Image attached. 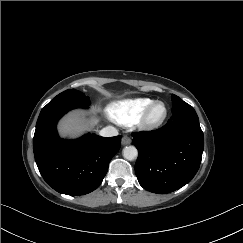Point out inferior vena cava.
I'll use <instances>...</instances> for the list:
<instances>
[{"instance_id":"inferior-vena-cava-1","label":"inferior vena cava","mask_w":243,"mask_h":243,"mask_svg":"<svg viewBox=\"0 0 243 243\" xmlns=\"http://www.w3.org/2000/svg\"><path fill=\"white\" fill-rule=\"evenodd\" d=\"M99 135L103 136V137L117 136L118 130L115 127L107 126V127L100 130Z\"/></svg>"}]
</instances>
